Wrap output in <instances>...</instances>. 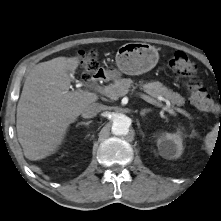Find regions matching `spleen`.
<instances>
[{
	"instance_id": "spleen-1",
	"label": "spleen",
	"mask_w": 221,
	"mask_h": 221,
	"mask_svg": "<svg viewBox=\"0 0 221 221\" xmlns=\"http://www.w3.org/2000/svg\"><path fill=\"white\" fill-rule=\"evenodd\" d=\"M217 129L218 128H217V125H216L214 131H212L211 133H209L206 136L205 144H206L207 148L210 149V150L212 149V147L214 145L216 134H217Z\"/></svg>"
}]
</instances>
